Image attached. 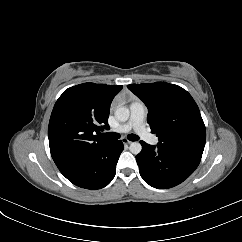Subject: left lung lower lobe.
Wrapping results in <instances>:
<instances>
[{"label":"left lung lower lobe","mask_w":242,"mask_h":242,"mask_svg":"<svg viewBox=\"0 0 242 242\" xmlns=\"http://www.w3.org/2000/svg\"><path fill=\"white\" fill-rule=\"evenodd\" d=\"M142 151L136 156L141 177L150 186L165 189L187 179L197 168L200 159L164 150L140 142Z\"/></svg>","instance_id":"obj_1"}]
</instances>
